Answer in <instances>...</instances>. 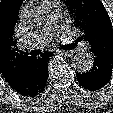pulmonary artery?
<instances>
[{
    "label": "pulmonary artery",
    "instance_id": "e3ab8cb5",
    "mask_svg": "<svg viewBox=\"0 0 113 113\" xmlns=\"http://www.w3.org/2000/svg\"><path fill=\"white\" fill-rule=\"evenodd\" d=\"M42 8L46 14L45 25L41 31L37 32L27 40L24 44V47L27 49L43 47L51 40L53 34L61 28L59 22L61 5L59 0L43 1ZM83 48L87 50L88 45L84 44Z\"/></svg>",
    "mask_w": 113,
    "mask_h": 113
}]
</instances>
